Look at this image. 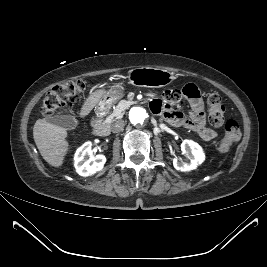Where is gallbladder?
Masks as SVG:
<instances>
[{"label": "gallbladder", "mask_w": 267, "mask_h": 267, "mask_svg": "<svg viewBox=\"0 0 267 267\" xmlns=\"http://www.w3.org/2000/svg\"><path fill=\"white\" fill-rule=\"evenodd\" d=\"M48 121L68 130L75 129L79 124L78 120L71 115H56Z\"/></svg>", "instance_id": "bac80fb5"}]
</instances>
